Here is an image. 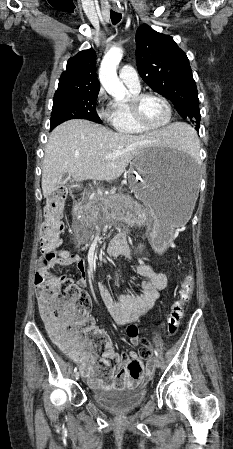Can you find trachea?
<instances>
[{
  "label": "trachea",
  "instance_id": "1",
  "mask_svg": "<svg viewBox=\"0 0 233 449\" xmlns=\"http://www.w3.org/2000/svg\"><path fill=\"white\" fill-rule=\"evenodd\" d=\"M122 15L118 12H115L113 10L110 11V18L112 20V23L116 25L120 22Z\"/></svg>",
  "mask_w": 233,
  "mask_h": 449
}]
</instances>
